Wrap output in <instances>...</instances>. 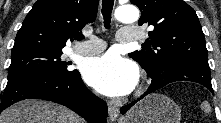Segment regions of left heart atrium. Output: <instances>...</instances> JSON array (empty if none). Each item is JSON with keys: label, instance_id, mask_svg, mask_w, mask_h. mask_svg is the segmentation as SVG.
<instances>
[{"label": "left heart atrium", "instance_id": "left-heart-atrium-1", "mask_svg": "<svg viewBox=\"0 0 221 123\" xmlns=\"http://www.w3.org/2000/svg\"><path fill=\"white\" fill-rule=\"evenodd\" d=\"M82 74L90 86L109 96L129 93L138 80L135 64L115 52L88 59L83 65Z\"/></svg>", "mask_w": 221, "mask_h": 123}]
</instances>
